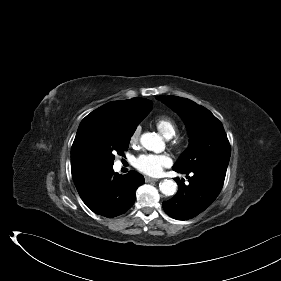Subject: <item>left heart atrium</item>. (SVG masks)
I'll return each mask as SVG.
<instances>
[{"label": "left heart atrium", "mask_w": 281, "mask_h": 281, "mask_svg": "<svg viewBox=\"0 0 281 281\" xmlns=\"http://www.w3.org/2000/svg\"><path fill=\"white\" fill-rule=\"evenodd\" d=\"M170 165V157L163 154H142L135 160V167L150 176L161 174L162 170Z\"/></svg>", "instance_id": "39dd6f15"}]
</instances>
